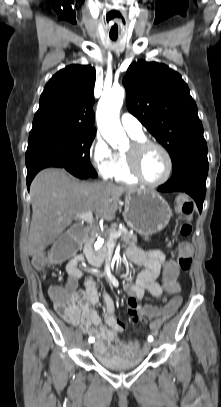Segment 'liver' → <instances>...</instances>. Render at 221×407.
I'll list each match as a JSON object with an SVG mask.
<instances>
[{"mask_svg": "<svg viewBox=\"0 0 221 407\" xmlns=\"http://www.w3.org/2000/svg\"><path fill=\"white\" fill-rule=\"evenodd\" d=\"M131 186L107 182H79L65 169L48 168L32 181V219L28 254L36 256L52 244L77 214L94 212L113 220L123 193L138 191Z\"/></svg>", "mask_w": 221, "mask_h": 407, "instance_id": "1", "label": "liver"}]
</instances>
